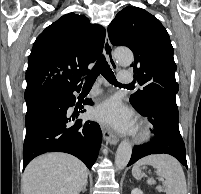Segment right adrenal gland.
Segmentation results:
<instances>
[{
  "mask_svg": "<svg viewBox=\"0 0 201 194\" xmlns=\"http://www.w3.org/2000/svg\"><path fill=\"white\" fill-rule=\"evenodd\" d=\"M87 191V189H86V185L81 189V192L82 193H84V192H86Z\"/></svg>",
  "mask_w": 201,
  "mask_h": 194,
  "instance_id": "2a0ac1e0",
  "label": "right adrenal gland"
}]
</instances>
